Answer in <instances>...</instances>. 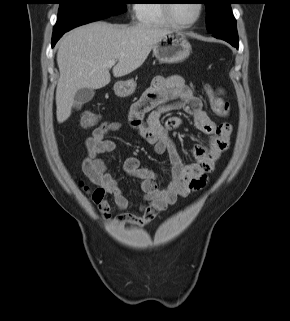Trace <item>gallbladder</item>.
Returning a JSON list of instances; mask_svg holds the SVG:
<instances>
[{
    "mask_svg": "<svg viewBox=\"0 0 290 321\" xmlns=\"http://www.w3.org/2000/svg\"><path fill=\"white\" fill-rule=\"evenodd\" d=\"M95 95L94 89L82 88L77 91L74 97V107L80 108L83 104L91 101Z\"/></svg>",
    "mask_w": 290,
    "mask_h": 321,
    "instance_id": "obj_1",
    "label": "gallbladder"
}]
</instances>
